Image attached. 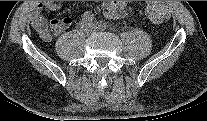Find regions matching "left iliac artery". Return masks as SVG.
I'll return each mask as SVG.
<instances>
[{
  "label": "left iliac artery",
  "instance_id": "obj_1",
  "mask_svg": "<svg viewBox=\"0 0 207 121\" xmlns=\"http://www.w3.org/2000/svg\"><path fill=\"white\" fill-rule=\"evenodd\" d=\"M97 24L99 27L104 28V29L108 27L107 23L104 21H99Z\"/></svg>",
  "mask_w": 207,
  "mask_h": 121
}]
</instances>
